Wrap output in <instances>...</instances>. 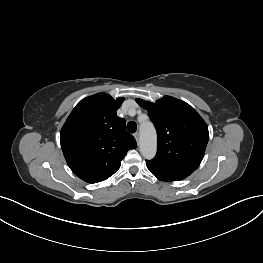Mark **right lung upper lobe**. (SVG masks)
<instances>
[{
    "label": "right lung upper lobe",
    "instance_id": "obj_1",
    "mask_svg": "<svg viewBox=\"0 0 263 263\" xmlns=\"http://www.w3.org/2000/svg\"><path fill=\"white\" fill-rule=\"evenodd\" d=\"M124 98L98 93L73 109L60 133L61 147L71 170L82 180L97 183L112 176L127 151L137 147L117 116Z\"/></svg>",
    "mask_w": 263,
    "mask_h": 263
}]
</instances>
